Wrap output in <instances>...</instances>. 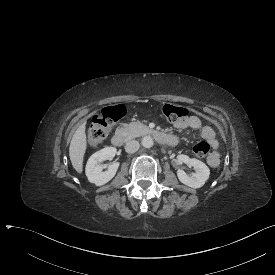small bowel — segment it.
<instances>
[{"label": "small bowel", "mask_w": 275, "mask_h": 275, "mask_svg": "<svg viewBox=\"0 0 275 275\" xmlns=\"http://www.w3.org/2000/svg\"><path fill=\"white\" fill-rule=\"evenodd\" d=\"M174 125L178 129H192L200 130L201 137L208 141L213 149V152L208 158L210 166H217L219 163L218 141L215 138L213 129L209 126H202L201 119L196 115H191L185 119L174 122Z\"/></svg>", "instance_id": "obj_1"}]
</instances>
